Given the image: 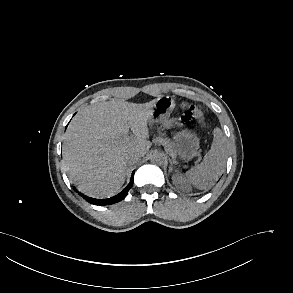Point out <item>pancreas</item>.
<instances>
[{"label": "pancreas", "instance_id": "pancreas-1", "mask_svg": "<svg viewBox=\"0 0 293 293\" xmlns=\"http://www.w3.org/2000/svg\"><path fill=\"white\" fill-rule=\"evenodd\" d=\"M158 141L160 143H162L168 149V151H170V152L173 151V145L171 144L169 139L160 137V138H158Z\"/></svg>", "mask_w": 293, "mask_h": 293}]
</instances>
